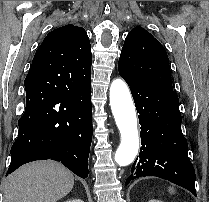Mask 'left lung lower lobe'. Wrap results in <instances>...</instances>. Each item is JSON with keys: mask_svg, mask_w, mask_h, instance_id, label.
<instances>
[{"mask_svg": "<svg viewBox=\"0 0 209 202\" xmlns=\"http://www.w3.org/2000/svg\"><path fill=\"white\" fill-rule=\"evenodd\" d=\"M120 75L130 86L140 114L142 145L125 185L142 176H156L182 186L196 196V176L181 131L177 94L136 77Z\"/></svg>", "mask_w": 209, "mask_h": 202, "instance_id": "obj_1", "label": "left lung lower lobe"}]
</instances>
